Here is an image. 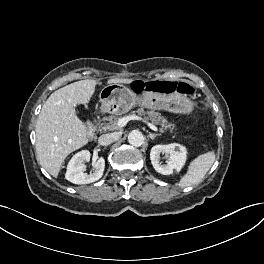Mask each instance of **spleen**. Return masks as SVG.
Instances as JSON below:
<instances>
[{
    "mask_svg": "<svg viewBox=\"0 0 264 264\" xmlns=\"http://www.w3.org/2000/svg\"><path fill=\"white\" fill-rule=\"evenodd\" d=\"M214 152H207L199 155L189 165L187 173L177 183L180 187H188L201 182L206 173L215 162Z\"/></svg>",
    "mask_w": 264,
    "mask_h": 264,
    "instance_id": "1",
    "label": "spleen"
}]
</instances>
